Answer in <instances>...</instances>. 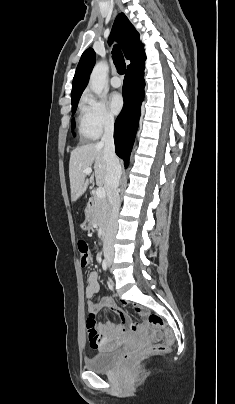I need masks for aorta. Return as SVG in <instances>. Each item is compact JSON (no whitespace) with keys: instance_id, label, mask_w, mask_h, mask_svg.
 <instances>
[{"instance_id":"1","label":"aorta","mask_w":235,"mask_h":404,"mask_svg":"<svg viewBox=\"0 0 235 404\" xmlns=\"http://www.w3.org/2000/svg\"><path fill=\"white\" fill-rule=\"evenodd\" d=\"M108 65L105 62H98L90 75L89 85L91 90L98 96L102 93L107 84Z\"/></svg>"}]
</instances>
